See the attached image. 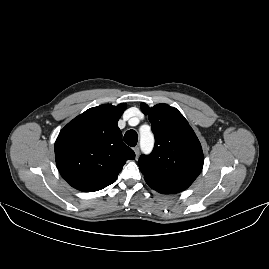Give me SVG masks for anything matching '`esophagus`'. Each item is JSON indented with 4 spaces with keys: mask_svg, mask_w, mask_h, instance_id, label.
<instances>
[{
    "mask_svg": "<svg viewBox=\"0 0 269 269\" xmlns=\"http://www.w3.org/2000/svg\"><path fill=\"white\" fill-rule=\"evenodd\" d=\"M134 152H135V155H136V160L138 159L139 157V154H140V150H139V147H134L133 148Z\"/></svg>",
    "mask_w": 269,
    "mask_h": 269,
    "instance_id": "34e87169",
    "label": "esophagus"
}]
</instances>
